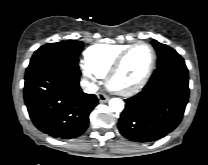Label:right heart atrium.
<instances>
[{
    "mask_svg": "<svg viewBox=\"0 0 208 165\" xmlns=\"http://www.w3.org/2000/svg\"><path fill=\"white\" fill-rule=\"evenodd\" d=\"M80 68L86 79L92 83L95 82L97 75L87 66L85 62H81Z\"/></svg>",
    "mask_w": 208,
    "mask_h": 165,
    "instance_id": "d8ad5b80",
    "label": "right heart atrium"
}]
</instances>
